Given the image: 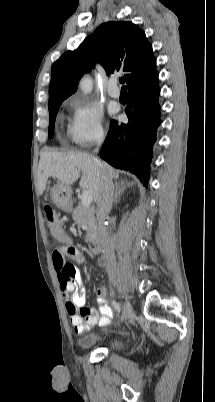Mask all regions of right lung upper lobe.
Returning a JSON list of instances; mask_svg holds the SVG:
<instances>
[{"label":"right lung upper lobe","instance_id":"right-lung-upper-lobe-1","mask_svg":"<svg viewBox=\"0 0 215 402\" xmlns=\"http://www.w3.org/2000/svg\"><path fill=\"white\" fill-rule=\"evenodd\" d=\"M97 61L107 75L123 72L128 89L158 74L152 45L144 31L132 22L103 23L76 50L64 53L53 64L49 103L73 94L81 76Z\"/></svg>","mask_w":215,"mask_h":402}]
</instances>
